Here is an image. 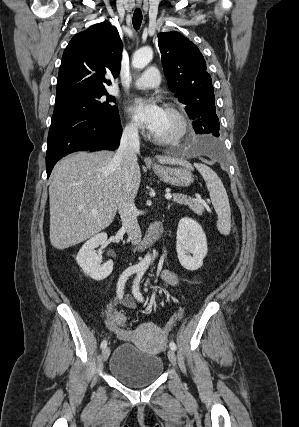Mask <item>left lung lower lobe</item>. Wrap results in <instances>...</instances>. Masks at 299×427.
Masks as SVG:
<instances>
[{"mask_svg": "<svg viewBox=\"0 0 299 427\" xmlns=\"http://www.w3.org/2000/svg\"><path fill=\"white\" fill-rule=\"evenodd\" d=\"M205 111H208L206 109H201V111L199 112V117L200 119H193V127L196 131V133L199 134H203V133H207L210 134L209 131V126H208V121L210 120L209 117H206L207 113ZM199 149L206 151V152H210L215 156L220 157L221 156V152L219 149V146H214V147H210L207 145H199Z\"/></svg>", "mask_w": 299, "mask_h": 427, "instance_id": "obj_1", "label": "left lung lower lobe"}]
</instances>
